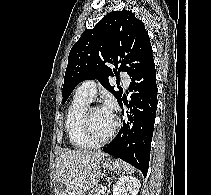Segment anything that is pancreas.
<instances>
[{"label":"pancreas","mask_w":211,"mask_h":195,"mask_svg":"<svg viewBox=\"0 0 211 195\" xmlns=\"http://www.w3.org/2000/svg\"><path fill=\"white\" fill-rule=\"evenodd\" d=\"M100 189H101V187H98L97 189L92 190L91 192H89L88 195H101L100 192H99Z\"/></svg>","instance_id":"1"}]
</instances>
